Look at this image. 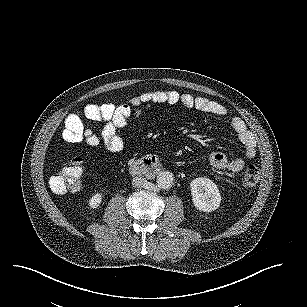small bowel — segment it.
I'll list each match as a JSON object with an SVG mask.
<instances>
[{"instance_id": "c3829d8e", "label": "small bowel", "mask_w": 307, "mask_h": 307, "mask_svg": "<svg viewBox=\"0 0 307 307\" xmlns=\"http://www.w3.org/2000/svg\"><path fill=\"white\" fill-rule=\"evenodd\" d=\"M152 104L180 105L186 109H197L215 116H226L227 108L215 100L174 90L145 92L129 99L128 103L115 106L112 103L101 105L87 104L80 111L71 113L65 119L62 138L68 143L82 141L81 116L104 121L101 138L107 149L120 151L124 146L120 131L127 125L131 117H139L144 107ZM231 127L244 147V157L228 158L224 153L215 151L209 156L210 165L218 170L239 172L245 165V159L256 156V141L245 122L238 116L231 118Z\"/></svg>"}]
</instances>
